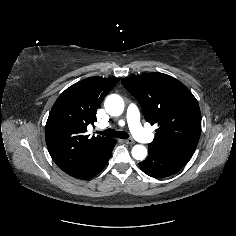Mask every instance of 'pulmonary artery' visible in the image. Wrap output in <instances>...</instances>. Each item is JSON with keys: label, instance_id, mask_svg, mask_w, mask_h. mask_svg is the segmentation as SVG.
Listing matches in <instances>:
<instances>
[{"label": "pulmonary artery", "instance_id": "1", "mask_svg": "<svg viewBox=\"0 0 236 236\" xmlns=\"http://www.w3.org/2000/svg\"><path fill=\"white\" fill-rule=\"evenodd\" d=\"M127 122L132 134L135 138L142 143L152 142L154 135L143 128L140 122V112L135 104H130L126 112ZM119 126H123L124 122L119 121Z\"/></svg>", "mask_w": 236, "mask_h": 236}]
</instances>
